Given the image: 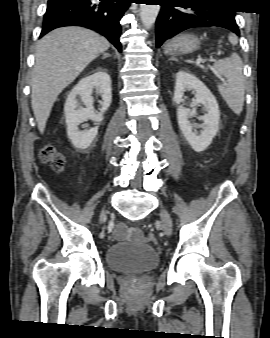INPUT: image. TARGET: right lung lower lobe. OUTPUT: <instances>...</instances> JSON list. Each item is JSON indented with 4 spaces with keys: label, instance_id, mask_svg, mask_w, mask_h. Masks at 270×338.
<instances>
[{
    "label": "right lung lower lobe",
    "instance_id": "1",
    "mask_svg": "<svg viewBox=\"0 0 270 338\" xmlns=\"http://www.w3.org/2000/svg\"><path fill=\"white\" fill-rule=\"evenodd\" d=\"M132 0H48L40 37L63 26H83L105 36L121 51L119 21Z\"/></svg>",
    "mask_w": 270,
    "mask_h": 338
}]
</instances>
